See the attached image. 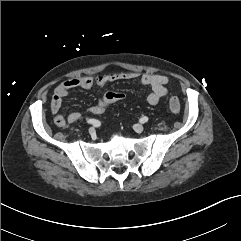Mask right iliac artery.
I'll return each instance as SVG.
<instances>
[{
    "label": "right iliac artery",
    "mask_w": 241,
    "mask_h": 241,
    "mask_svg": "<svg viewBox=\"0 0 241 241\" xmlns=\"http://www.w3.org/2000/svg\"><path fill=\"white\" fill-rule=\"evenodd\" d=\"M87 123L93 124L94 126L100 125V122L98 120H95V119H89V120H87Z\"/></svg>",
    "instance_id": "82829eb1"
}]
</instances>
